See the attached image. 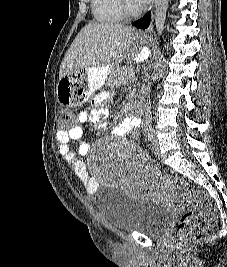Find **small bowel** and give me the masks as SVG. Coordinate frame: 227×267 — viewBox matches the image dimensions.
<instances>
[{
  "instance_id": "small-bowel-1",
  "label": "small bowel",
  "mask_w": 227,
  "mask_h": 267,
  "mask_svg": "<svg viewBox=\"0 0 227 267\" xmlns=\"http://www.w3.org/2000/svg\"><path fill=\"white\" fill-rule=\"evenodd\" d=\"M105 101L99 96L97 103L101 104ZM104 115L103 109L85 106L78 110L76 115L77 122L70 127V130H58L56 133V141L59 144V152L64 157L66 163L72 168L75 176L84 184L88 194H94L98 189V181L91 176L86 168L85 163L80 159V154L87 152V146L82 142L83 124L87 121L99 124ZM141 124V118L137 115L128 116L123 119L119 127L115 130L118 136H127L136 131ZM79 143V154L72 150L71 141Z\"/></svg>"
}]
</instances>
